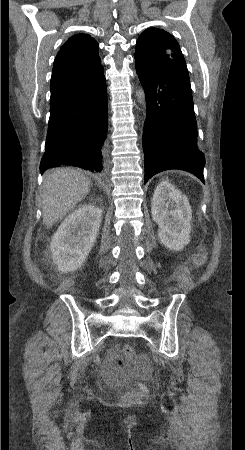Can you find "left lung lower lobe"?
<instances>
[{"mask_svg": "<svg viewBox=\"0 0 245 450\" xmlns=\"http://www.w3.org/2000/svg\"><path fill=\"white\" fill-rule=\"evenodd\" d=\"M135 66L147 105L144 184L153 175L170 169L188 171L205 183V158L198 148L193 97L167 74Z\"/></svg>", "mask_w": 245, "mask_h": 450, "instance_id": "1", "label": "left lung lower lobe"}]
</instances>
